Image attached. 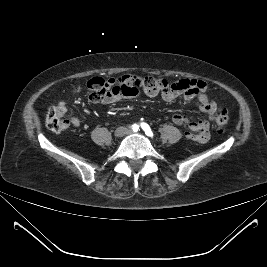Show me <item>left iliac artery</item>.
<instances>
[{
  "instance_id": "left-iliac-artery-1",
  "label": "left iliac artery",
  "mask_w": 267,
  "mask_h": 267,
  "mask_svg": "<svg viewBox=\"0 0 267 267\" xmlns=\"http://www.w3.org/2000/svg\"><path fill=\"white\" fill-rule=\"evenodd\" d=\"M141 127H142V129L145 131V133H146L148 136H152V135H153V133H152L150 127L148 126V124H146V123H141Z\"/></svg>"
}]
</instances>
